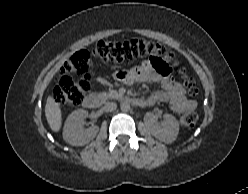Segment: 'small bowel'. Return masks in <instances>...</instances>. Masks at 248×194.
Masks as SVG:
<instances>
[{
    "mask_svg": "<svg viewBox=\"0 0 248 194\" xmlns=\"http://www.w3.org/2000/svg\"><path fill=\"white\" fill-rule=\"evenodd\" d=\"M126 77L122 81L126 84L145 82L159 86V90L147 98L148 105L168 103L176 113H186L196 107V102L186 97L182 85L169 76L168 66L155 65L153 61H146L131 70H124Z\"/></svg>",
    "mask_w": 248,
    "mask_h": 194,
    "instance_id": "1",
    "label": "small bowel"
}]
</instances>
